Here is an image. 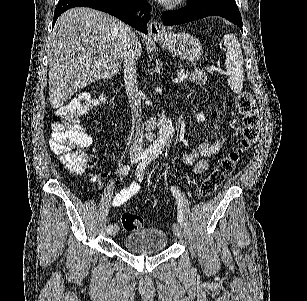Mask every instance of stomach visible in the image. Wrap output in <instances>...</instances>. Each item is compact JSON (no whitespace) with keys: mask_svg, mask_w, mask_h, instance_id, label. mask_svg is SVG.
I'll return each instance as SVG.
<instances>
[{"mask_svg":"<svg viewBox=\"0 0 307 301\" xmlns=\"http://www.w3.org/2000/svg\"><path fill=\"white\" fill-rule=\"evenodd\" d=\"M158 44H161L166 50H170L175 56L183 60H199L203 54V48L200 40L188 32H163L158 36H152Z\"/></svg>","mask_w":307,"mask_h":301,"instance_id":"1","label":"stomach"}]
</instances>
